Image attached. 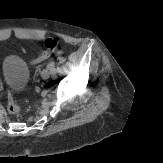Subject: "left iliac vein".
Listing matches in <instances>:
<instances>
[{
  "instance_id": "1",
  "label": "left iliac vein",
  "mask_w": 163,
  "mask_h": 163,
  "mask_svg": "<svg viewBox=\"0 0 163 163\" xmlns=\"http://www.w3.org/2000/svg\"><path fill=\"white\" fill-rule=\"evenodd\" d=\"M41 77H42L44 80L48 79V78L50 77V71H49V69H44V70H42V72H41Z\"/></svg>"
}]
</instances>
